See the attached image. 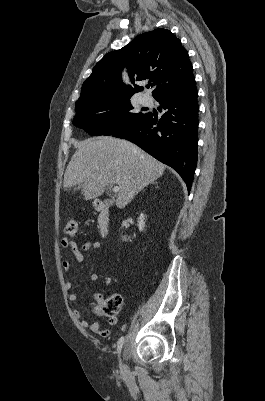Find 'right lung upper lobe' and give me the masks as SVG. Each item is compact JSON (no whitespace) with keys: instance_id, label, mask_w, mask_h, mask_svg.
<instances>
[{"instance_id":"1","label":"right lung upper lobe","mask_w":265,"mask_h":401,"mask_svg":"<svg viewBox=\"0 0 265 401\" xmlns=\"http://www.w3.org/2000/svg\"><path fill=\"white\" fill-rule=\"evenodd\" d=\"M127 67L131 81L149 79L153 97L182 91L195 82L188 52L169 30L158 28L137 36L120 50L107 53L82 85L76 105L97 97H131L143 87L126 86L121 72Z\"/></svg>"}]
</instances>
